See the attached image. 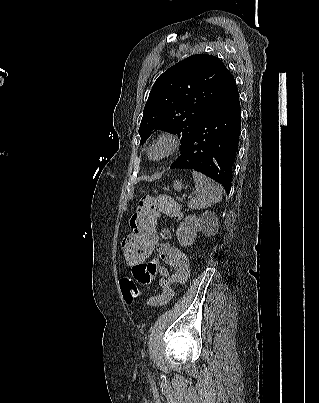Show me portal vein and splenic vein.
<instances>
[{
  "mask_svg": "<svg viewBox=\"0 0 319 403\" xmlns=\"http://www.w3.org/2000/svg\"><path fill=\"white\" fill-rule=\"evenodd\" d=\"M184 197H186V195H184L182 198H179V201H183Z\"/></svg>",
  "mask_w": 319,
  "mask_h": 403,
  "instance_id": "obj_1",
  "label": "portal vein and splenic vein"
}]
</instances>
